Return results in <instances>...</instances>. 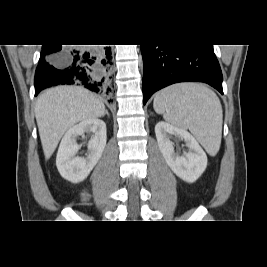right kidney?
<instances>
[{"instance_id":"ca27d5eb","label":"right kidney","mask_w":267,"mask_h":267,"mask_svg":"<svg viewBox=\"0 0 267 267\" xmlns=\"http://www.w3.org/2000/svg\"><path fill=\"white\" fill-rule=\"evenodd\" d=\"M86 132L94 133L88 142L86 158L78 157L81 145L76 139ZM106 124L100 119H87L70 128L64 135L56 157V165L63 178L73 183L83 181L97 164L106 146Z\"/></svg>"}]
</instances>
